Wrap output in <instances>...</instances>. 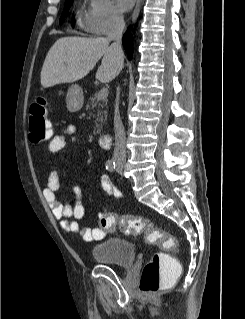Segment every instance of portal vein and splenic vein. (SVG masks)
<instances>
[{"label": "portal vein and splenic vein", "mask_w": 245, "mask_h": 319, "mask_svg": "<svg viewBox=\"0 0 245 319\" xmlns=\"http://www.w3.org/2000/svg\"><path fill=\"white\" fill-rule=\"evenodd\" d=\"M108 96V88L103 87L100 89L99 93H98V98L99 99H105Z\"/></svg>", "instance_id": "1"}]
</instances>
